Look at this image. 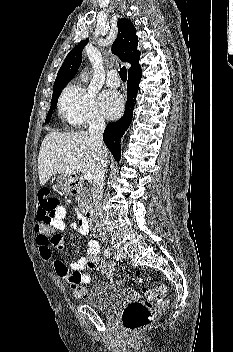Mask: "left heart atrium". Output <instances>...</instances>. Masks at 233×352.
Here are the masks:
<instances>
[{
  "label": "left heart atrium",
  "instance_id": "1",
  "mask_svg": "<svg viewBox=\"0 0 233 352\" xmlns=\"http://www.w3.org/2000/svg\"><path fill=\"white\" fill-rule=\"evenodd\" d=\"M100 106L106 116L115 118L123 109V100L118 92L108 90L101 94Z\"/></svg>",
  "mask_w": 233,
  "mask_h": 352
}]
</instances>
